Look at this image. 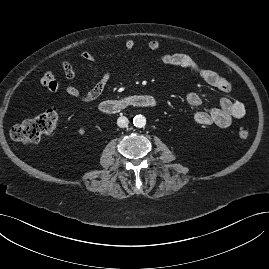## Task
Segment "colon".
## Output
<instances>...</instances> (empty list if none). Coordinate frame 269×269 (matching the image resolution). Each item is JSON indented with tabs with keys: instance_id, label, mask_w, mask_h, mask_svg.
Instances as JSON below:
<instances>
[{
	"instance_id": "1",
	"label": "colon",
	"mask_w": 269,
	"mask_h": 269,
	"mask_svg": "<svg viewBox=\"0 0 269 269\" xmlns=\"http://www.w3.org/2000/svg\"><path fill=\"white\" fill-rule=\"evenodd\" d=\"M59 122V113L55 109H48L31 119H27L12 128L11 136L14 140L24 144H33L42 137L51 134ZM249 131L246 128H240L237 137L241 141L249 138Z\"/></svg>"
}]
</instances>
